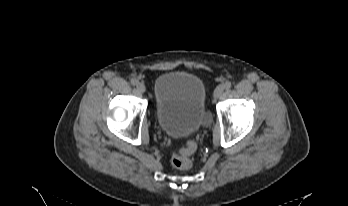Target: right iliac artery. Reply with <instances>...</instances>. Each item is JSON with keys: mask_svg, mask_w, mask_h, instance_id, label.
Segmentation results:
<instances>
[{"mask_svg": "<svg viewBox=\"0 0 348 206\" xmlns=\"http://www.w3.org/2000/svg\"><path fill=\"white\" fill-rule=\"evenodd\" d=\"M131 84L135 86V85L138 84V81L135 78H132L131 79Z\"/></svg>", "mask_w": 348, "mask_h": 206, "instance_id": "1", "label": "right iliac artery"}]
</instances>
